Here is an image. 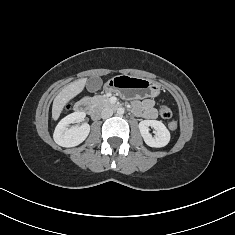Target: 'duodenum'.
I'll return each instance as SVG.
<instances>
[{
  "instance_id": "obj_1",
  "label": "duodenum",
  "mask_w": 235,
  "mask_h": 235,
  "mask_svg": "<svg viewBox=\"0 0 235 235\" xmlns=\"http://www.w3.org/2000/svg\"><path fill=\"white\" fill-rule=\"evenodd\" d=\"M75 110L79 113L86 112V113H91L93 116L97 115V113L93 110L92 103L89 98H84V99L80 100L76 104Z\"/></svg>"
}]
</instances>
